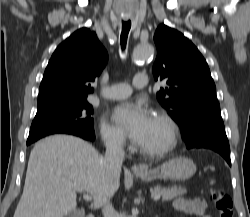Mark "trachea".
Instances as JSON below:
<instances>
[{
	"label": "trachea",
	"mask_w": 250,
	"mask_h": 217,
	"mask_svg": "<svg viewBox=\"0 0 250 217\" xmlns=\"http://www.w3.org/2000/svg\"><path fill=\"white\" fill-rule=\"evenodd\" d=\"M130 28H131V21H123L122 22V32H121V36H120V42H121L122 49H125V47H126L127 38H128Z\"/></svg>",
	"instance_id": "obj_1"
}]
</instances>
